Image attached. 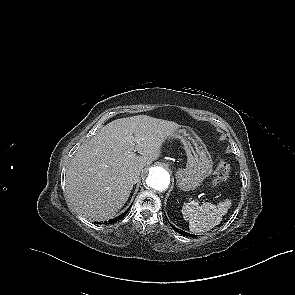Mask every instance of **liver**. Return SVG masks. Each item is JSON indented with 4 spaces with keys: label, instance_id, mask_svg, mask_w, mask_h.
Here are the masks:
<instances>
[{
    "label": "liver",
    "instance_id": "1",
    "mask_svg": "<svg viewBox=\"0 0 295 295\" xmlns=\"http://www.w3.org/2000/svg\"><path fill=\"white\" fill-rule=\"evenodd\" d=\"M179 128L175 122L146 115L108 123L71 159L66 172L68 201L89 220L113 218L142 170L158 159L162 144ZM133 150L141 155L131 156Z\"/></svg>",
    "mask_w": 295,
    "mask_h": 295
}]
</instances>
